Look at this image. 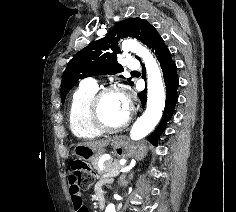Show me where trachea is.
Masks as SVG:
<instances>
[{
	"label": "trachea",
	"instance_id": "1",
	"mask_svg": "<svg viewBox=\"0 0 236 212\" xmlns=\"http://www.w3.org/2000/svg\"><path fill=\"white\" fill-rule=\"evenodd\" d=\"M131 73H137L136 71H132Z\"/></svg>",
	"mask_w": 236,
	"mask_h": 212
}]
</instances>
